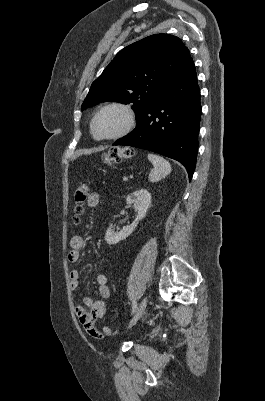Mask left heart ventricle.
I'll return each instance as SVG.
<instances>
[{
	"label": "left heart ventricle",
	"mask_w": 265,
	"mask_h": 401,
	"mask_svg": "<svg viewBox=\"0 0 265 401\" xmlns=\"http://www.w3.org/2000/svg\"><path fill=\"white\" fill-rule=\"evenodd\" d=\"M124 115L119 110H108L101 114L95 122L94 131L99 137H107L119 131Z\"/></svg>",
	"instance_id": "1"
}]
</instances>
